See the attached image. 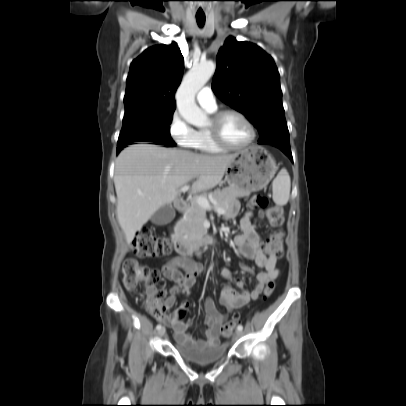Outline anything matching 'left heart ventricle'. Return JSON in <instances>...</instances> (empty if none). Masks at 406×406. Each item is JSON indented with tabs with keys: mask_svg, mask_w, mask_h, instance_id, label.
<instances>
[{
	"mask_svg": "<svg viewBox=\"0 0 406 406\" xmlns=\"http://www.w3.org/2000/svg\"><path fill=\"white\" fill-rule=\"evenodd\" d=\"M220 131L224 141L230 145H243L250 137V130L247 125L234 114H227L223 117Z\"/></svg>",
	"mask_w": 406,
	"mask_h": 406,
	"instance_id": "1",
	"label": "left heart ventricle"
}]
</instances>
